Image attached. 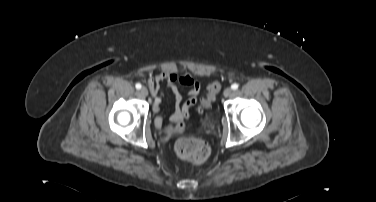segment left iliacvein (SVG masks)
I'll return each mask as SVG.
<instances>
[{
    "instance_id": "4c4485c4",
    "label": "left iliac vein",
    "mask_w": 376,
    "mask_h": 202,
    "mask_svg": "<svg viewBox=\"0 0 376 202\" xmlns=\"http://www.w3.org/2000/svg\"><path fill=\"white\" fill-rule=\"evenodd\" d=\"M225 97H228L232 94V89L231 88H226L223 92Z\"/></svg>"
}]
</instances>
